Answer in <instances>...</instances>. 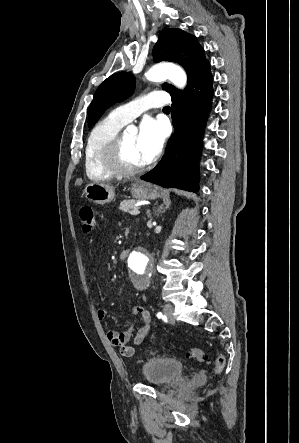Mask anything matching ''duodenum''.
<instances>
[{
    "label": "duodenum",
    "instance_id": "410a0bca",
    "mask_svg": "<svg viewBox=\"0 0 299 443\" xmlns=\"http://www.w3.org/2000/svg\"><path fill=\"white\" fill-rule=\"evenodd\" d=\"M129 254H130V249H124V250L120 253L119 258H120V259H125V258H127V257L129 256Z\"/></svg>",
    "mask_w": 299,
    "mask_h": 443
}]
</instances>
